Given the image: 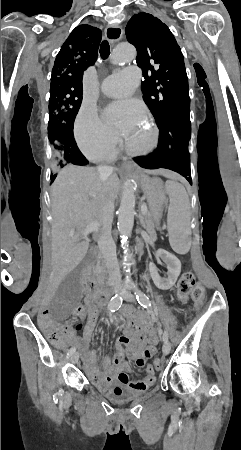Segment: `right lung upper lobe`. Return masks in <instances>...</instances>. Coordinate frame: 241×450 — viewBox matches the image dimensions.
<instances>
[{"mask_svg":"<svg viewBox=\"0 0 241 450\" xmlns=\"http://www.w3.org/2000/svg\"><path fill=\"white\" fill-rule=\"evenodd\" d=\"M101 38L102 32L98 28L76 27L55 59L50 87L66 84L83 89V72L96 61Z\"/></svg>","mask_w":241,"mask_h":450,"instance_id":"1","label":"right lung upper lobe"}]
</instances>
